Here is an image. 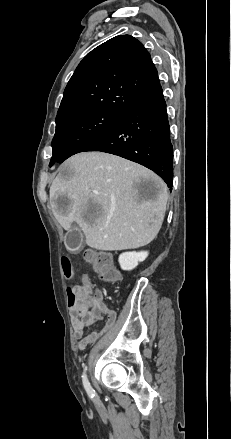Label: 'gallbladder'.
<instances>
[{
    "instance_id": "obj_1",
    "label": "gallbladder",
    "mask_w": 231,
    "mask_h": 439,
    "mask_svg": "<svg viewBox=\"0 0 231 439\" xmlns=\"http://www.w3.org/2000/svg\"><path fill=\"white\" fill-rule=\"evenodd\" d=\"M84 236L80 228L73 226L65 236V245L68 250L78 252L83 248Z\"/></svg>"
}]
</instances>
